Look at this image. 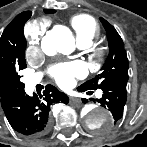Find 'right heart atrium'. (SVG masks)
Here are the masks:
<instances>
[{
  "label": "right heart atrium",
  "mask_w": 147,
  "mask_h": 147,
  "mask_svg": "<svg viewBox=\"0 0 147 147\" xmlns=\"http://www.w3.org/2000/svg\"><path fill=\"white\" fill-rule=\"evenodd\" d=\"M45 32V24L43 22H34L28 28V36L30 44L27 50L29 56L40 52V41Z\"/></svg>",
  "instance_id": "d8ad5b80"
}]
</instances>
